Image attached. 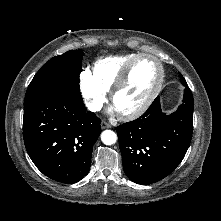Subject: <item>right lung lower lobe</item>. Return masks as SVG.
I'll return each instance as SVG.
<instances>
[{
    "mask_svg": "<svg viewBox=\"0 0 221 221\" xmlns=\"http://www.w3.org/2000/svg\"><path fill=\"white\" fill-rule=\"evenodd\" d=\"M100 119L83 101L54 93L24 105L23 137L35 166L47 177L73 184L87 175Z\"/></svg>",
    "mask_w": 221,
    "mask_h": 221,
    "instance_id": "right-lung-lower-lobe-1",
    "label": "right lung lower lobe"
}]
</instances>
